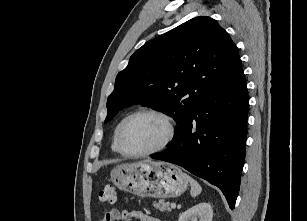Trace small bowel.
<instances>
[{"instance_id": "c3829d8e", "label": "small bowel", "mask_w": 307, "mask_h": 221, "mask_svg": "<svg viewBox=\"0 0 307 221\" xmlns=\"http://www.w3.org/2000/svg\"><path fill=\"white\" fill-rule=\"evenodd\" d=\"M133 219L138 221H161L160 219L144 214L141 211L127 209L122 211L112 209L111 211L107 212L100 221H130Z\"/></svg>"}]
</instances>
